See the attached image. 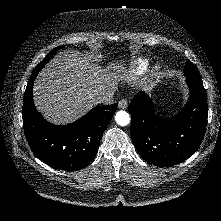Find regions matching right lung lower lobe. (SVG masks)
<instances>
[{
	"mask_svg": "<svg viewBox=\"0 0 221 221\" xmlns=\"http://www.w3.org/2000/svg\"><path fill=\"white\" fill-rule=\"evenodd\" d=\"M35 78L31 76L27 83L22 112L24 133L31 150L42 162L59 170L85 167L96 156L117 104L94 108L70 124L54 125L35 108L32 96Z\"/></svg>",
	"mask_w": 221,
	"mask_h": 221,
	"instance_id": "right-lung-lower-lobe-1",
	"label": "right lung lower lobe"
}]
</instances>
